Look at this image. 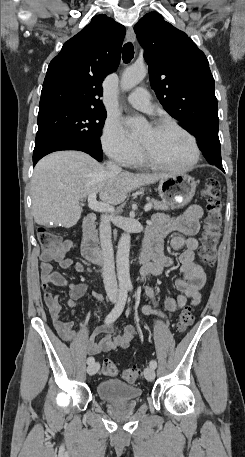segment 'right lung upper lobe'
<instances>
[{
	"label": "right lung upper lobe",
	"mask_w": 245,
	"mask_h": 457,
	"mask_svg": "<svg viewBox=\"0 0 245 457\" xmlns=\"http://www.w3.org/2000/svg\"><path fill=\"white\" fill-rule=\"evenodd\" d=\"M125 31L123 25L100 14L68 40L49 64L39 112L70 104L104 108L102 82L120 63Z\"/></svg>",
	"instance_id": "obj_1"
}]
</instances>
